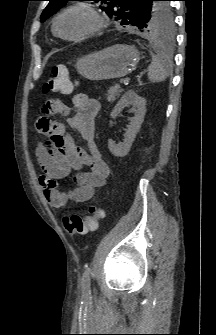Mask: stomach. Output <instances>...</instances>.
I'll return each mask as SVG.
<instances>
[{
    "instance_id": "stomach-1",
    "label": "stomach",
    "mask_w": 216,
    "mask_h": 335,
    "mask_svg": "<svg viewBox=\"0 0 216 335\" xmlns=\"http://www.w3.org/2000/svg\"><path fill=\"white\" fill-rule=\"evenodd\" d=\"M140 53L133 45L116 44L77 60L78 73L91 81L123 77L133 71Z\"/></svg>"
}]
</instances>
